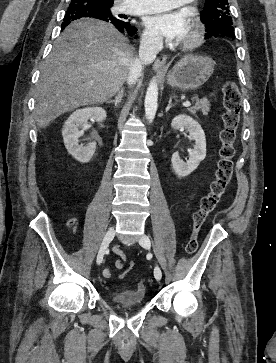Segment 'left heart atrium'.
<instances>
[{
    "label": "left heart atrium",
    "mask_w": 276,
    "mask_h": 363,
    "mask_svg": "<svg viewBox=\"0 0 276 363\" xmlns=\"http://www.w3.org/2000/svg\"><path fill=\"white\" fill-rule=\"evenodd\" d=\"M145 25L155 37L179 42L187 34L190 22L185 11H168L147 17Z\"/></svg>",
    "instance_id": "left-heart-atrium-1"
}]
</instances>
